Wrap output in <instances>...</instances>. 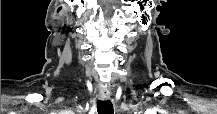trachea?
Returning <instances> with one entry per match:
<instances>
[{"label":"trachea","mask_w":217,"mask_h":114,"mask_svg":"<svg viewBox=\"0 0 217 114\" xmlns=\"http://www.w3.org/2000/svg\"><path fill=\"white\" fill-rule=\"evenodd\" d=\"M98 114H113V104L110 100H100L97 103Z\"/></svg>","instance_id":"1"}]
</instances>
